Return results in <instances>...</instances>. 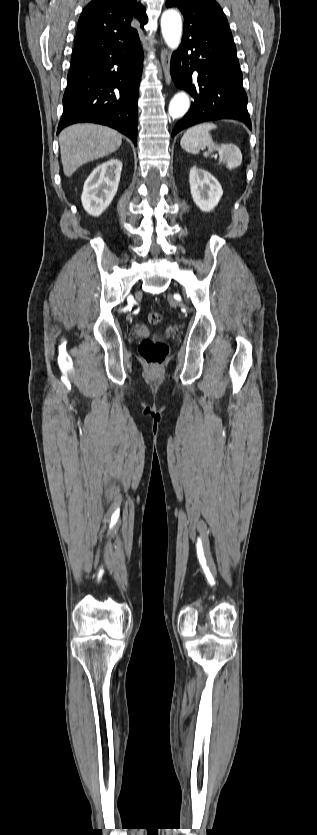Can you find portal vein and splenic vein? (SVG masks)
Listing matches in <instances>:
<instances>
[{
    "instance_id": "obj_1",
    "label": "portal vein and splenic vein",
    "mask_w": 317,
    "mask_h": 835,
    "mask_svg": "<svg viewBox=\"0 0 317 835\" xmlns=\"http://www.w3.org/2000/svg\"><path fill=\"white\" fill-rule=\"evenodd\" d=\"M212 158H213L214 160H217L218 156H217V155H214Z\"/></svg>"
}]
</instances>
